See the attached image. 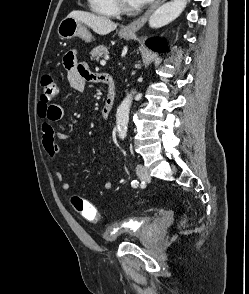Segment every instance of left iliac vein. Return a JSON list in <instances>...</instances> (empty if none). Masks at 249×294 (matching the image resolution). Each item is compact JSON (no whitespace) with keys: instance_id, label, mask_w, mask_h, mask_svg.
Listing matches in <instances>:
<instances>
[{"instance_id":"1","label":"left iliac vein","mask_w":249,"mask_h":294,"mask_svg":"<svg viewBox=\"0 0 249 294\" xmlns=\"http://www.w3.org/2000/svg\"><path fill=\"white\" fill-rule=\"evenodd\" d=\"M136 173L141 181L149 182L151 180L148 170L142 164L136 165Z\"/></svg>"}]
</instances>
